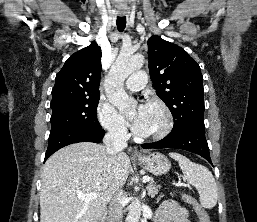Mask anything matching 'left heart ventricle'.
Wrapping results in <instances>:
<instances>
[{
  "label": "left heart ventricle",
  "mask_w": 257,
  "mask_h": 222,
  "mask_svg": "<svg viewBox=\"0 0 257 222\" xmlns=\"http://www.w3.org/2000/svg\"><path fill=\"white\" fill-rule=\"evenodd\" d=\"M148 121L146 133H151L159 129L163 123V113L157 106L148 105Z\"/></svg>",
  "instance_id": "obj_1"
}]
</instances>
